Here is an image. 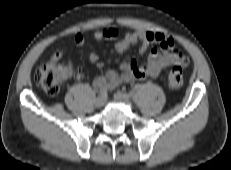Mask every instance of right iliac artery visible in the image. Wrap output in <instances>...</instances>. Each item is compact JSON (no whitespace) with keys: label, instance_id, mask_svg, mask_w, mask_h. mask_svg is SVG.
Segmentation results:
<instances>
[{"label":"right iliac artery","instance_id":"1","mask_svg":"<svg viewBox=\"0 0 231 170\" xmlns=\"http://www.w3.org/2000/svg\"><path fill=\"white\" fill-rule=\"evenodd\" d=\"M99 95L101 97H106L107 96V89L106 88H100Z\"/></svg>","mask_w":231,"mask_h":170}]
</instances>
